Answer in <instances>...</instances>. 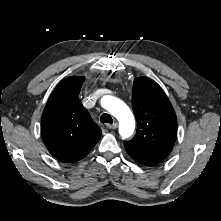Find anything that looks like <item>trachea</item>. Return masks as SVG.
Masks as SVG:
<instances>
[{
    "label": "trachea",
    "instance_id": "1",
    "mask_svg": "<svg viewBox=\"0 0 221 221\" xmlns=\"http://www.w3.org/2000/svg\"><path fill=\"white\" fill-rule=\"evenodd\" d=\"M100 122L101 123H110V124H112L113 123V119H112V117L109 114L104 113L100 117Z\"/></svg>",
    "mask_w": 221,
    "mask_h": 221
}]
</instances>
